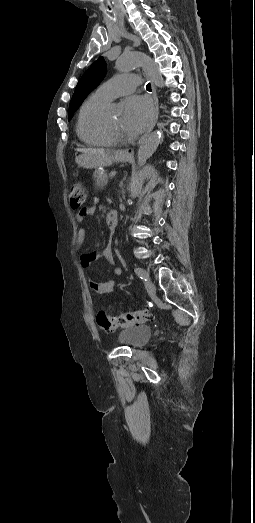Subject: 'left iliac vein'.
Returning <instances> with one entry per match:
<instances>
[{
	"mask_svg": "<svg viewBox=\"0 0 255 523\" xmlns=\"http://www.w3.org/2000/svg\"><path fill=\"white\" fill-rule=\"evenodd\" d=\"M145 275H146V281L144 282L145 287H146L147 291L149 292V294L154 295L156 292V288H155L154 284L149 280L148 272L145 271Z\"/></svg>",
	"mask_w": 255,
	"mask_h": 523,
	"instance_id": "4c4485c4",
	"label": "left iliac vein"
}]
</instances>
